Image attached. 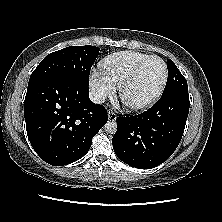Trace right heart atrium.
Returning <instances> with one entry per match:
<instances>
[{
	"instance_id": "obj_1",
	"label": "right heart atrium",
	"mask_w": 222,
	"mask_h": 222,
	"mask_svg": "<svg viewBox=\"0 0 222 222\" xmlns=\"http://www.w3.org/2000/svg\"><path fill=\"white\" fill-rule=\"evenodd\" d=\"M89 84L94 99L97 102H103L107 98H111L116 93L115 85L102 73L93 70L90 74Z\"/></svg>"
}]
</instances>
